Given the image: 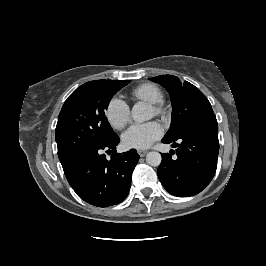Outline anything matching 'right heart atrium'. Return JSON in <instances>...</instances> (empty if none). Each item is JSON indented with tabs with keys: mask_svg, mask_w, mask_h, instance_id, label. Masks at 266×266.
Here are the masks:
<instances>
[{
	"mask_svg": "<svg viewBox=\"0 0 266 266\" xmlns=\"http://www.w3.org/2000/svg\"><path fill=\"white\" fill-rule=\"evenodd\" d=\"M106 117L112 127L120 130L130 121V108L125 101L114 97L108 103Z\"/></svg>",
	"mask_w": 266,
	"mask_h": 266,
	"instance_id": "obj_1",
	"label": "right heart atrium"
}]
</instances>
